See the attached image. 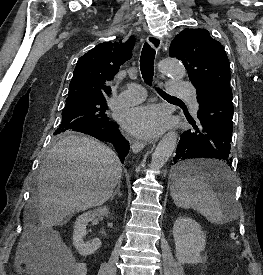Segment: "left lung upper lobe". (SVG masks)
<instances>
[{
	"instance_id": "1",
	"label": "left lung upper lobe",
	"mask_w": 263,
	"mask_h": 275,
	"mask_svg": "<svg viewBox=\"0 0 263 275\" xmlns=\"http://www.w3.org/2000/svg\"><path fill=\"white\" fill-rule=\"evenodd\" d=\"M170 57L182 60L197 96L230 88V64L224 47L206 29H184L172 41Z\"/></svg>"
}]
</instances>
